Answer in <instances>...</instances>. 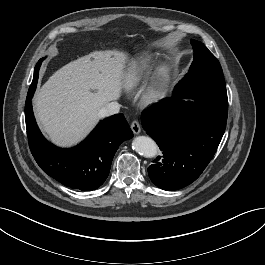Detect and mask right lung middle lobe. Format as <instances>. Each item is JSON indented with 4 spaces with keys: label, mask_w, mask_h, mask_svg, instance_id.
Listing matches in <instances>:
<instances>
[{
    "label": "right lung middle lobe",
    "mask_w": 265,
    "mask_h": 265,
    "mask_svg": "<svg viewBox=\"0 0 265 265\" xmlns=\"http://www.w3.org/2000/svg\"><path fill=\"white\" fill-rule=\"evenodd\" d=\"M37 81H38V76H35V72H34V77H33L32 83L37 84ZM29 90H32L34 92L35 91V85H33L32 87L30 86Z\"/></svg>",
    "instance_id": "obj_1"
}]
</instances>
